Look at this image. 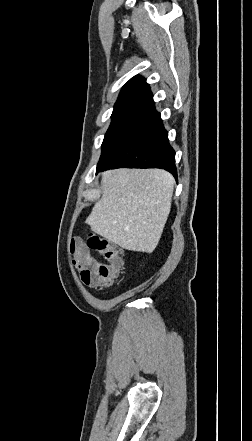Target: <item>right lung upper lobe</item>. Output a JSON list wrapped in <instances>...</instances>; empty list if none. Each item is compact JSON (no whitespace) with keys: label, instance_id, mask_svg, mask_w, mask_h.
Instances as JSON below:
<instances>
[{"label":"right lung upper lobe","instance_id":"right-lung-upper-lobe-1","mask_svg":"<svg viewBox=\"0 0 252 441\" xmlns=\"http://www.w3.org/2000/svg\"><path fill=\"white\" fill-rule=\"evenodd\" d=\"M152 97L149 85L145 79L135 76L121 90L114 108L133 103H148Z\"/></svg>","mask_w":252,"mask_h":441}]
</instances>
